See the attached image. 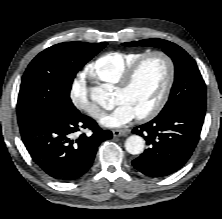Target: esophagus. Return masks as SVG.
<instances>
[{"mask_svg": "<svg viewBox=\"0 0 222 219\" xmlns=\"http://www.w3.org/2000/svg\"><path fill=\"white\" fill-rule=\"evenodd\" d=\"M114 137L126 136L129 134L127 129H115L112 131Z\"/></svg>", "mask_w": 222, "mask_h": 219, "instance_id": "esophagus-1", "label": "esophagus"}]
</instances>
